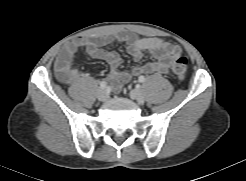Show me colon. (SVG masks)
<instances>
[{"label":"colon","mask_w":246,"mask_h":181,"mask_svg":"<svg viewBox=\"0 0 246 181\" xmlns=\"http://www.w3.org/2000/svg\"><path fill=\"white\" fill-rule=\"evenodd\" d=\"M187 58L184 56L177 57L172 62V72L177 80L182 81L187 74Z\"/></svg>","instance_id":"colon-1"}]
</instances>
